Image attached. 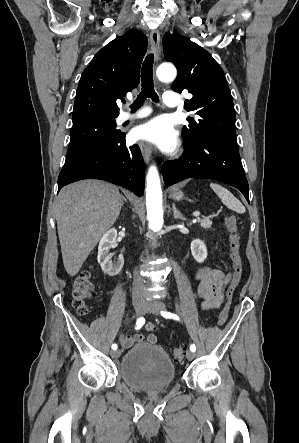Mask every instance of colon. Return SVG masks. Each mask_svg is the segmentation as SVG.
<instances>
[{
  "instance_id": "5ec220e1",
  "label": "colon",
  "mask_w": 299,
  "mask_h": 443,
  "mask_svg": "<svg viewBox=\"0 0 299 443\" xmlns=\"http://www.w3.org/2000/svg\"><path fill=\"white\" fill-rule=\"evenodd\" d=\"M224 225L229 231V249L232 262V279L226 293L225 304L217 320V324L220 326L223 325L228 319L231 304L234 298V293L240 283L243 272V263L240 255L241 235L238 220L234 215H227L224 219ZM93 289L94 284L92 281L91 271L89 269L83 270L75 278L72 289V304L78 314L82 316L88 314L86 301L91 295ZM184 352L185 348L183 346L174 348L172 352L173 358L177 361L182 360Z\"/></svg>"
}]
</instances>
